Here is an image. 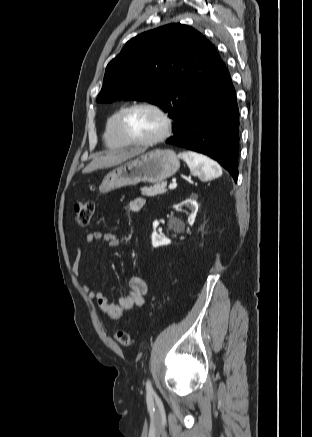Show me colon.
<instances>
[{
	"mask_svg": "<svg viewBox=\"0 0 312 437\" xmlns=\"http://www.w3.org/2000/svg\"><path fill=\"white\" fill-rule=\"evenodd\" d=\"M73 208L77 223L83 226L88 225L94 213V204L88 201H75ZM115 339L124 347H130L133 344L131 335L125 330H117Z\"/></svg>",
	"mask_w": 312,
	"mask_h": 437,
	"instance_id": "colon-1",
	"label": "colon"
}]
</instances>
